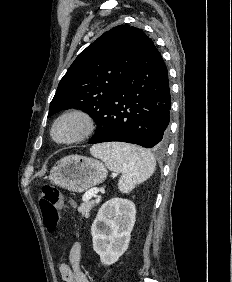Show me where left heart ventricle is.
<instances>
[{"label":"left heart ventricle","mask_w":232,"mask_h":282,"mask_svg":"<svg viewBox=\"0 0 232 282\" xmlns=\"http://www.w3.org/2000/svg\"><path fill=\"white\" fill-rule=\"evenodd\" d=\"M77 131V125L74 123H66L61 125L56 130V136L58 138H65L73 135Z\"/></svg>","instance_id":"obj_1"}]
</instances>
